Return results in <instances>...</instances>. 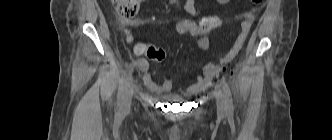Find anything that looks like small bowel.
Here are the masks:
<instances>
[{"mask_svg":"<svg viewBox=\"0 0 332 140\" xmlns=\"http://www.w3.org/2000/svg\"><path fill=\"white\" fill-rule=\"evenodd\" d=\"M216 1L221 5H225L229 3L230 0ZM185 9L188 14L193 17H198L202 13V10L195 7L194 0H186ZM253 20L254 15L252 13H245L243 15V20L240 25V32L231 48L223 57L217 61H211L203 67L202 73L197 77L196 82L183 91V97L192 96L205 89L211 83L212 79L217 75V73L223 68V66L235 58L248 36ZM209 44V38L207 36H201L198 40V47L202 50H207L209 48ZM137 64L143 73L144 84L150 92L159 95L163 100L166 101L178 102L182 99L181 96L171 93L174 86L172 80L164 79L162 84H159L153 80L156 72L151 70L150 64L146 59H139Z\"/></svg>","mask_w":332,"mask_h":140,"instance_id":"c3829d8e","label":"small bowel"}]
</instances>
